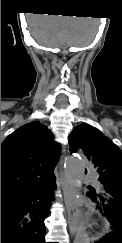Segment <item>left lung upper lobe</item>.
Instances as JSON below:
<instances>
[{
    "mask_svg": "<svg viewBox=\"0 0 122 243\" xmlns=\"http://www.w3.org/2000/svg\"><path fill=\"white\" fill-rule=\"evenodd\" d=\"M69 146L71 152H83L100 176L122 174V151L95 127L87 124L75 127L69 136ZM96 191L104 193L102 187ZM113 215L122 219V202Z\"/></svg>",
    "mask_w": 122,
    "mask_h": 243,
    "instance_id": "obj_1",
    "label": "left lung upper lobe"
}]
</instances>
